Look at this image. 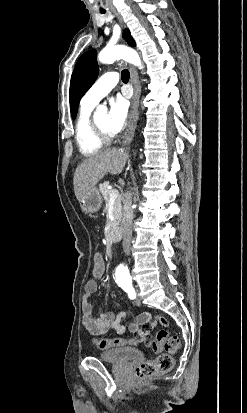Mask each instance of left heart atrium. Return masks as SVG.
Listing matches in <instances>:
<instances>
[{
  "label": "left heart atrium",
  "instance_id": "1",
  "mask_svg": "<svg viewBox=\"0 0 247 413\" xmlns=\"http://www.w3.org/2000/svg\"><path fill=\"white\" fill-rule=\"evenodd\" d=\"M127 116L126 101L118 96L109 100L107 127L110 135L118 134L124 127Z\"/></svg>",
  "mask_w": 247,
  "mask_h": 413
}]
</instances>
